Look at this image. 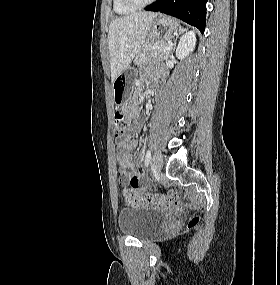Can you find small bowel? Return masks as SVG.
Returning a JSON list of instances; mask_svg holds the SVG:
<instances>
[{
	"mask_svg": "<svg viewBox=\"0 0 280 285\" xmlns=\"http://www.w3.org/2000/svg\"><path fill=\"white\" fill-rule=\"evenodd\" d=\"M125 112L135 117L136 112L133 108H126ZM137 147L136 140H129L125 137L117 145L118 152L120 154L118 159V167L120 172L119 181L122 185L128 186L135 191L142 190L146 186L145 174L139 172L135 168L130 151ZM131 173V176L128 173Z\"/></svg>",
	"mask_w": 280,
	"mask_h": 285,
	"instance_id": "1",
	"label": "small bowel"
}]
</instances>
